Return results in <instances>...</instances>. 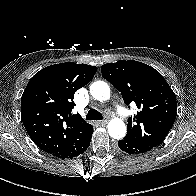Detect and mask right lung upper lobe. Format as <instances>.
<instances>
[{"label": "right lung upper lobe", "mask_w": 196, "mask_h": 196, "mask_svg": "<svg viewBox=\"0 0 196 196\" xmlns=\"http://www.w3.org/2000/svg\"><path fill=\"white\" fill-rule=\"evenodd\" d=\"M97 67L61 63L37 72L21 98V117L33 142L55 155L71 147L92 125L72 115L74 93L95 75Z\"/></svg>", "instance_id": "cb5924a9"}]
</instances>
